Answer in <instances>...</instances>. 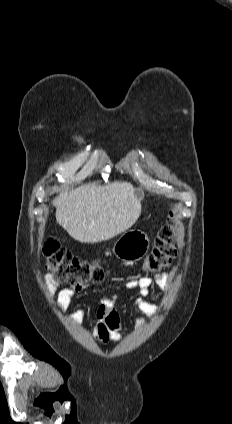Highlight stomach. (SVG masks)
Instances as JSON below:
<instances>
[{"label": "stomach", "mask_w": 232, "mask_h": 424, "mask_svg": "<svg viewBox=\"0 0 232 424\" xmlns=\"http://www.w3.org/2000/svg\"><path fill=\"white\" fill-rule=\"evenodd\" d=\"M149 246V238L144 232L130 230L116 241L113 252L123 261L135 262L147 254Z\"/></svg>", "instance_id": "0dacf381"}]
</instances>
